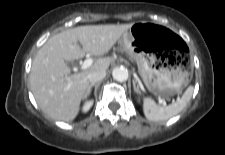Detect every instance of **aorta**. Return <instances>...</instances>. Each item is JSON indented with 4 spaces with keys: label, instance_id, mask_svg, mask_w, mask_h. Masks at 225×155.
Segmentation results:
<instances>
[{
    "label": "aorta",
    "instance_id": "1",
    "mask_svg": "<svg viewBox=\"0 0 225 155\" xmlns=\"http://www.w3.org/2000/svg\"><path fill=\"white\" fill-rule=\"evenodd\" d=\"M112 76L116 81L124 82L128 79V70L125 67H116L112 71Z\"/></svg>",
    "mask_w": 225,
    "mask_h": 155
}]
</instances>
